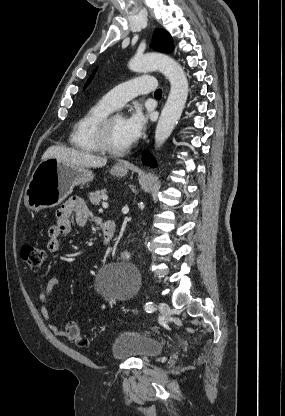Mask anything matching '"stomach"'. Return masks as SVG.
<instances>
[{"instance_id": "1", "label": "stomach", "mask_w": 285, "mask_h": 416, "mask_svg": "<svg viewBox=\"0 0 285 416\" xmlns=\"http://www.w3.org/2000/svg\"><path fill=\"white\" fill-rule=\"evenodd\" d=\"M129 166L116 164L110 174L122 178L126 176ZM94 176L87 168L67 164L57 158L40 162L34 170L25 190L24 204L28 210H43L59 206L75 186L92 182Z\"/></svg>"}]
</instances>
